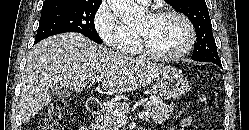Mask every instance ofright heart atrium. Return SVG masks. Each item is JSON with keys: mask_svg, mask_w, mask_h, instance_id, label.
<instances>
[{"mask_svg": "<svg viewBox=\"0 0 249 130\" xmlns=\"http://www.w3.org/2000/svg\"><path fill=\"white\" fill-rule=\"evenodd\" d=\"M93 26L102 41L115 50L127 52L132 30L114 13L107 2H102L93 17Z\"/></svg>", "mask_w": 249, "mask_h": 130, "instance_id": "right-heart-atrium-1", "label": "right heart atrium"}]
</instances>
